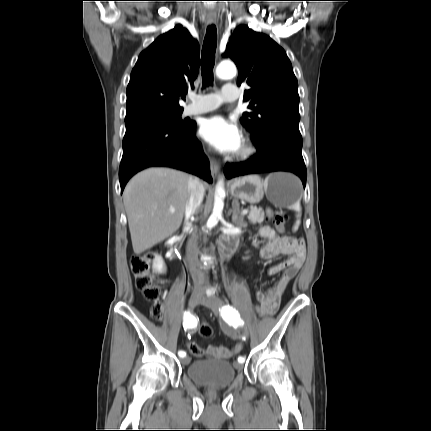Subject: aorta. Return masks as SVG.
<instances>
[{
	"label": "aorta",
	"mask_w": 431,
	"mask_h": 431,
	"mask_svg": "<svg viewBox=\"0 0 431 431\" xmlns=\"http://www.w3.org/2000/svg\"><path fill=\"white\" fill-rule=\"evenodd\" d=\"M236 72L237 71H236L235 65L232 62H228V61L220 63L216 68V75L220 79L233 78L236 75ZM224 194H225V191L223 188V183H222V180H220L216 189L213 212L210 215L207 221V224L205 225V228L208 231H211L214 228V226H216V224L218 223L219 219L222 216V210L224 206V202H223ZM203 260L206 265L211 264V260L207 256H204Z\"/></svg>",
	"instance_id": "obj_1"
}]
</instances>
